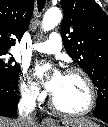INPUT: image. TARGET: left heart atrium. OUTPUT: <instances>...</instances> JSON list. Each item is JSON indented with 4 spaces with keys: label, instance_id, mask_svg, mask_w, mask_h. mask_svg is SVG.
<instances>
[{
    "label": "left heart atrium",
    "instance_id": "left-heart-atrium-1",
    "mask_svg": "<svg viewBox=\"0 0 108 127\" xmlns=\"http://www.w3.org/2000/svg\"><path fill=\"white\" fill-rule=\"evenodd\" d=\"M45 70H46V66H37L36 68L37 75L39 77H42ZM62 76L63 74L60 71L55 70L52 76L50 77V79L45 82L46 88L50 92H54L59 86Z\"/></svg>",
    "mask_w": 108,
    "mask_h": 127
}]
</instances>
